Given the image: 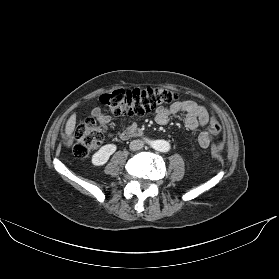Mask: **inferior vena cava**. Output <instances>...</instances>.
<instances>
[{
    "label": "inferior vena cava",
    "mask_w": 279,
    "mask_h": 279,
    "mask_svg": "<svg viewBox=\"0 0 279 279\" xmlns=\"http://www.w3.org/2000/svg\"><path fill=\"white\" fill-rule=\"evenodd\" d=\"M143 146L144 142L142 140H133L129 145L130 149L133 151L140 150Z\"/></svg>",
    "instance_id": "1"
}]
</instances>
